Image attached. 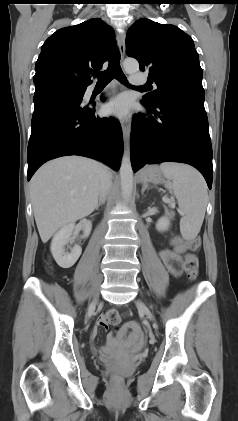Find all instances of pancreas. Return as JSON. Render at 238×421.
I'll list each match as a JSON object with an SVG mask.
<instances>
[{"instance_id": "cf45deb5", "label": "pancreas", "mask_w": 238, "mask_h": 421, "mask_svg": "<svg viewBox=\"0 0 238 421\" xmlns=\"http://www.w3.org/2000/svg\"><path fill=\"white\" fill-rule=\"evenodd\" d=\"M163 200H164V202H166V203H168V204H170V205H172V204H173V201H172V200H170V199H168V198H164Z\"/></svg>"}]
</instances>
